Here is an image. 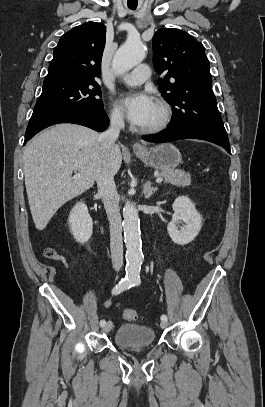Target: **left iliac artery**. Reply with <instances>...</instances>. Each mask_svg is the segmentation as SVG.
Segmentation results:
<instances>
[{"mask_svg":"<svg viewBox=\"0 0 265 407\" xmlns=\"http://www.w3.org/2000/svg\"><path fill=\"white\" fill-rule=\"evenodd\" d=\"M140 283H141V280H140L139 277H138V278H135V279L133 280L134 286H135V285H139ZM161 320H162V321H167L168 318H167L166 315L163 314V315L161 316Z\"/></svg>","mask_w":265,"mask_h":407,"instance_id":"obj_1","label":"left iliac artery"}]
</instances>
